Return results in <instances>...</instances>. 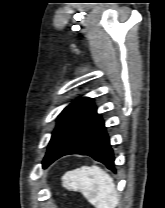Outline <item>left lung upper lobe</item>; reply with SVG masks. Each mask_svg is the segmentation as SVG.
<instances>
[{"mask_svg": "<svg viewBox=\"0 0 165 208\" xmlns=\"http://www.w3.org/2000/svg\"><path fill=\"white\" fill-rule=\"evenodd\" d=\"M95 114L93 99L88 97L73 101L60 113L43 160L44 168L65 155L81 128Z\"/></svg>", "mask_w": 165, "mask_h": 208, "instance_id": "1", "label": "left lung upper lobe"}]
</instances>
